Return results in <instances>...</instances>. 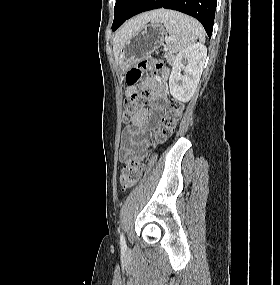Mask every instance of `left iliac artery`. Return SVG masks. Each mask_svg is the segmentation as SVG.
Instances as JSON below:
<instances>
[{"label":"left iliac artery","mask_w":280,"mask_h":285,"mask_svg":"<svg viewBox=\"0 0 280 285\" xmlns=\"http://www.w3.org/2000/svg\"><path fill=\"white\" fill-rule=\"evenodd\" d=\"M120 245L123 250L126 249V241L123 233L120 234Z\"/></svg>","instance_id":"obj_1"}]
</instances>
